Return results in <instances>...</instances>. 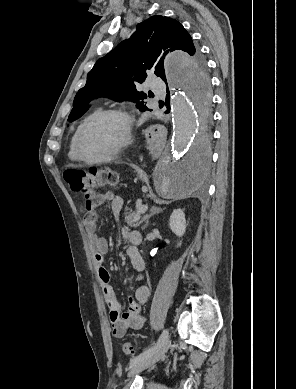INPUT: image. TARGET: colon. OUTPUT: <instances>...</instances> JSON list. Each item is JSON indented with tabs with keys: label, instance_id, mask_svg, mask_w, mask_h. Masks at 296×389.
Here are the masks:
<instances>
[{
	"label": "colon",
	"instance_id": "colon-1",
	"mask_svg": "<svg viewBox=\"0 0 296 389\" xmlns=\"http://www.w3.org/2000/svg\"><path fill=\"white\" fill-rule=\"evenodd\" d=\"M65 181L70 188L85 197L88 196L93 188L114 186L118 183V175L111 169H70L64 173ZM122 351L127 355L134 354V348L131 343L125 342L122 344Z\"/></svg>",
	"mask_w": 296,
	"mask_h": 389
}]
</instances>
